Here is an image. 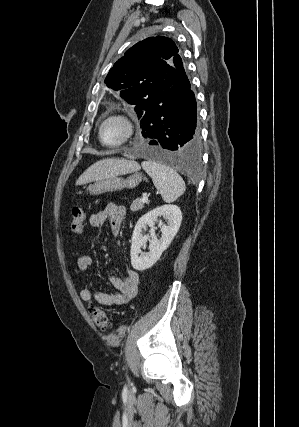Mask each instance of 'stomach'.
Instances as JSON below:
<instances>
[{
    "instance_id": "stomach-1",
    "label": "stomach",
    "mask_w": 299,
    "mask_h": 427,
    "mask_svg": "<svg viewBox=\"0 0 299 427\" xmlns=\"http://www.w3.org/2000/svg\"><path fill=\"white\" fill-rule=\"evenodd\" d=\"M132 173L126 179L122 178L121 174H119L97 180L94 184L89 185L87 190L91 195H100L107 192L119 191L124 188H135L141 182L142 174L138 173V170Z\"/></svg>"
}]
</instances>
